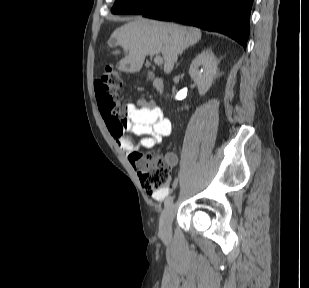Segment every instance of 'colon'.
Wrapping results in <instances>:
<instances>
[{
  "label": "colon",
  "instance_id": "5ec220e1",
  "mask_svg": "<svg viewBox=\"0 0 309 288\" xmlns=\"http://www.w3.org/2000/svg\"><path fill=\"white\" fill-rule=\"evenodd\" d=\"M122 80L118 73L110 68L102 71L94 83L99 108L105 119L125 122L132 110L133 104H119L118 94ZM131 161L136 166L141 185L149 194L160 193L168 189L172 180V165L155 152L145 154L134 153Z\"/></svg>",
  "mask_w": 309,
  "mask_h": 288
}]
</instances>
